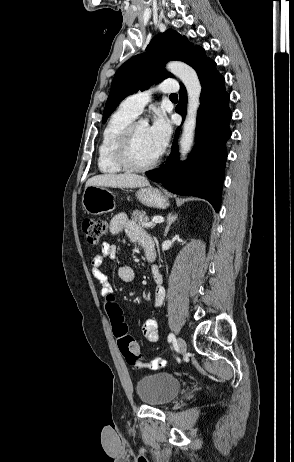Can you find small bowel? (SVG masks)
I'll return each mask as SVG.
<instances>
[{"instance_id":"c3829d8e","label":"small bowel","mask_w":294,"mask_h":462,"mask_svg":"<svg viewBox=\"0 0 294 462\" xmlns=\"http://www.w3.org/2000/svg\"><path fill=\"white\" fill-rule=\"evenodd\" d=\"M109 230L112 234L124 233L132 241L139 243L142 247L146 243H153L152 239L132 222L125 214H116L110 221ZM117 255V245L111 242L102 244L101 252L97 254L91 262V272L94 278L101 285V295L104 303L112 296V286L107 275L102 271V265L107 259H114ZM153 277L156 282V287L153 294V307H160L165 299V290L162 286V275L157 266L152 269ZM119 278L125 283H131L135 279L134 270L128 265H122L118 269ZM142 331L145 338L150 342H156L158 339L157 322L152 318H146L142 324ZM166 361L162 358H156L152 362L145 365L147 368L157 370L165 367Z\"/></svg>"}]
</instances>
